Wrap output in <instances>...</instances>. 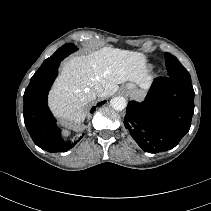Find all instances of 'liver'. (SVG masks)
Masks as SVG:
<instances>
[{
	"mask_svg": "<svg viewBox=\"0 0 211 211\" xmlns=\"http://www.w3.org/2000/svg\"><path fill=\"white\" fill-rule=\"evenodd\" d=\"M127 81L141 88L149 85L151 76L144 54L103 47L86 56L72 57L63 64L49 94V104L65 124L77 126L85 120L87 105L97 97L95 85L103 88L99 97H109L118 91L119 84Z\"/></svg>",
	"mask_w": 211,
	"mask_h": 211,
	"instance_id": "6515ba94",
	"label": "liver"
}]
</instances>
